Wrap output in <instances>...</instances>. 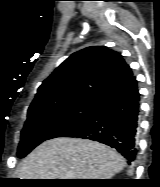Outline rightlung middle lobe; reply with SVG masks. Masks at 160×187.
<instances>
[{
	"instance_id": "dd1d6c3e",
	"label": "right lung middle lobe",
	"mask_w": 160,
	"mask_h": 187,
	"mask_svg": "<svg viewBox=\"0 0 160 187\" xmlns=\"http://www.w3.org/2000/svg\"><path fill=\"white\" fill-rule=\"evenodd\" d=\"M98 100L77 99L28 110L17 155L25 157L41 142L59 137L90 114Z\"/></svg>"
}]
</instances>
